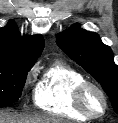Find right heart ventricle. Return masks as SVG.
<instances>
[{"mask_svg":"<svg viewBox=\"0 0 118 123\" xmlns=\"http://www.w3.org/2000/svg\"><path fill=\"white\" fill-rule=\"evenodd\" d=\"M85 76L69 65L56 61L38 78L34 88V103L41 110L61 117L86 121L74 104V94Z\"/></svg>","mask_w":118,"mask_h":123,"instance_id":"right-heart-ventricle-1","label":"right heart ventricle"}]
</instances>
